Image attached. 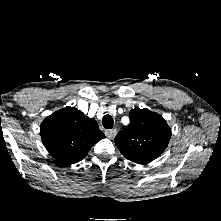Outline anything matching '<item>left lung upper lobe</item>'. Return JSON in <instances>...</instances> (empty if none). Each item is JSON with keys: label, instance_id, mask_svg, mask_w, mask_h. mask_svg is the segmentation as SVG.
I'll return each mask as SVG.
<instances>
[{"label": "left lung upper lobe", "instance_id": "1", "mask_svg": "<svg viewBox=\"0 0 221 221\" xmlns=\"http://www.w3.org/2000/svg\"><path fill=\"white\" fill-rule=\"evenodd\" d=\"M171 129L159 114L146 108L130 111V125L115 137L121 153L130 161L147 164L167 147Z\"/></svg>", "mask_w": 221, "mask_h": 221}]
</instances>
